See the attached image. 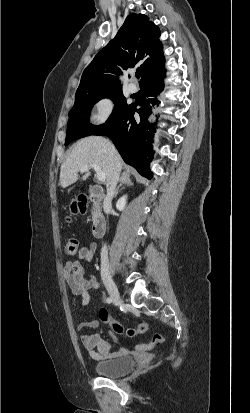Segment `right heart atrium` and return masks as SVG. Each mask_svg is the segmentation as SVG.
I'll return each instance as SVG.
<instances>
[{
    "label": "right heart atrium",
    "instance_id": "obj_1",
    "mask_svg": "<svg viewBox=\"0 0 250 413\" xmlns=\"http://www.w3.org/2000/svg\"><path fill=\"white\" fill-rule=\"evenodd\" d=\"M114 110V99L111 96H102L93 103L90 120L96 126L105 124L112 117Z\"/></svg>",
    "mask_w": 250,
    "mask_h": 413
}]
</instances>
